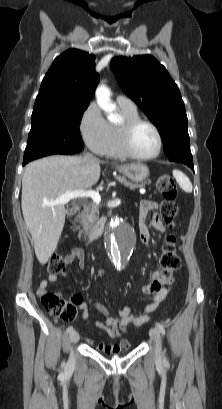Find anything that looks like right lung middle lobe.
I'll return each mask as SVG.
<instances>
[{
  "mask_svg": "<svg viewBox=\"0 0 222 409\" xmlns=\"http://www.w3.org/2000/svg\"><path fill=\"white\" fill-rule=\"evenodd\" d=\"M89 104H60L33 109L23 162L52 155L74 154L83 141L79 124Z\"/></svg>",
  "mask_w": 222,
  "mask_h": 409,
  "instance_id": "obj_1",
  "label": "right lung middle lobe"
}]
</instances>
